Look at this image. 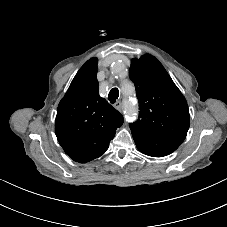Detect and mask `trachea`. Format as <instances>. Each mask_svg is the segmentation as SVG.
Returning a JSON list of instances; mask_svg holds the SVG:
<instances>
[{"label":"trachea","instance_id":"1","mask_svg":"<svg viewBox=\"0 0 227 227\" xmlns=\"http://www.w3.org/2000/svg\"><path fill=\"white\" fill-rule=\"evenodd\" d=\"M119 97V91L117 88H113L110 90L109 94H108V100L111 102V103H115L116 100L118 99Z\"/></svg>","mask_w":227,"mask_h":227}]
</instances>
